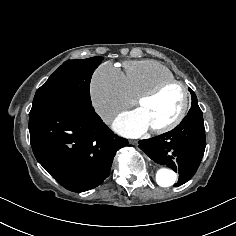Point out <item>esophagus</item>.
<instances>
[{
	"label": "esophagus",
	"mask_w": 236,
	"mask_h": 236,
	"mask_svg": "<svg viewBox=\"0 0 236 236\" xmlns=\"http://www.w3.org/2000/svg\"><path fill=\"white\" fill-rule=\"evenodd\" d=\"M129 143L131 145H137L138 141L137 140H130Z\"/></svg>",
	"instance_id": "esophagus-1"
}]
</instances>
